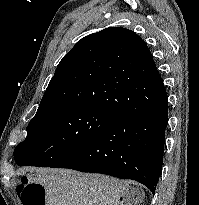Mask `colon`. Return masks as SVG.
<instances>
[{
  "mask_svg": "<svg viewBox=\"0 0 199 205\" xmlns=\"http://www.w3.org/2000/svg\"><path fill=\"white\" fill-rule=\"evenodd\" d=\"M23 205H45L44 195L40 188L22 177L17 187Z\"/></svg>",
  "mask_w": 199,
  "mask_h": 205,
  "instance_id": "5ec220e1",
  "label": "colon"
}]
</instances>
